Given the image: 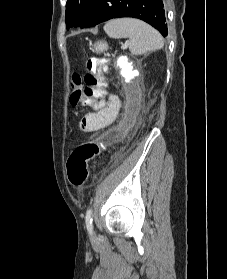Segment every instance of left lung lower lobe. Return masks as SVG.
Instances as JSON below:
<instances>
[{"mask_svg": "<svg viewBox=\"0 0 227 279\" xmlns=\"http://www.w3.org/2000/svg\"><path fill=\"white\" fill-rule=\"evenodd\" d=\"M120 17L141 19L156 28L163 36L167 35L162 0H95L81 28Z\"/></svg>", "mask_w": 227, "mask_h": 279, "instance_id": "0a47b994", "label": "left lung lower lobe"}]
</instances>
